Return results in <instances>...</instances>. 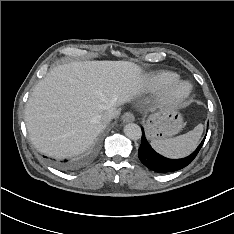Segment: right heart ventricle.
Instances as JSON below:
<instances>
[{
  "label": "right heart ventricle",
  "mask_w": 234,
  "mask_h": 234,
  "mask_svg": "<svg viewBox=\"0 0 234 234\" xmlns=\"http://www.w3.org/2000/svg\"><path fill=\"white\" fill-rule=\"evenodd\" d=\"M176 75L171 72L161 71L156 74L149 76L147 79V84L150 87H160L166 84H169L176 79Z\"/></svg>",
  "instance_id": "obj_1"
}]
</instances>
